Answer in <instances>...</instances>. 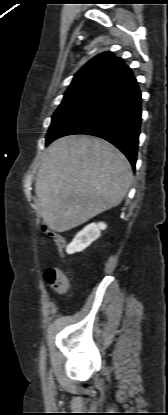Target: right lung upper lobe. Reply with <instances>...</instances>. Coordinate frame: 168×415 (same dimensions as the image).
I'll list each match as a JSON object with an SVG mask.
<instances>
[{
	"label": "right lung upper lobe",
	"mask_w": 168,
	"mask_h": 415,
	"mask_svg": "<svg viewBox=\"0 0 168 415\" xmlns=\"http://www.w3.org/2000/svg\"><path fill=\"white\" fill-rule=\"evenodd\" d=\"M131 73L121 58L111 52L101 53L87 62L74 76L66 94L76 92H103L109 86Z\"/></svg>",
	"instance_id": "1"
}]
</instances>
